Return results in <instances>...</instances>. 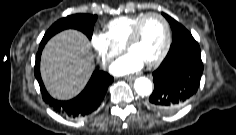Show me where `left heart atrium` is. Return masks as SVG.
Listing matches in <instances>:
<instances>
[{
  "label": "left heart atrium",
  "mask_w": 236,
  "mask_h": 135,
  "mask_svg": "<svg viewBox=\"0 0 236 135\" xmlns=\"http://www.w3.org/2000/svg\"><path fill=\"white\" fill-rule=\"evenodd\" d=\"M144 62L137 55L127 53L117 59L110 67V71L115 75H126L139 71Z\"/></svg>",
  "instance_id": "39dd6f15"
}]
</instances>
